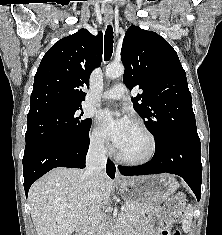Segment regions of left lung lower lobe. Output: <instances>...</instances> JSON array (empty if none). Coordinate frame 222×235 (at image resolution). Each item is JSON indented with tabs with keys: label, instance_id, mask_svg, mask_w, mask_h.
<instances>
[{
	"label": "left lung lower lobe",
	"instance_id": "0a47b994",
	"mask_svg": "<svg viewBox=\"0 0 222 235\" xmlns=\"http://www.w3.org/2000/svg\"><path fill=\"white\" fill-rule=\"evenodd\" d=\"M125 176L170 173L181 176L200 200L201 197V143L187 137H173L158 146L152 160L136 167H118Z\"/></svg>",
	"mask_w": 222,
	"mask_h": 235
}]
</instances>
